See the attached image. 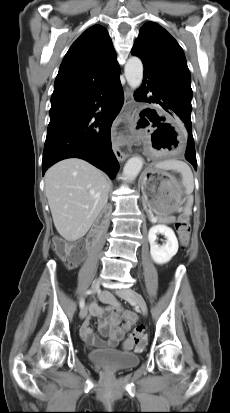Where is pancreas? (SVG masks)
Segmentation results:
<instances>
[{
	"label": "pancreas",
	"mask_w": 230,
	"mask_h": 413,
	"mask_svg": "<svg viewBox=\"0 0 230 413\" xmlns=\"http://www.w3.org/2000/svg\"><path fill=\"white\" fill-rule=\"evenodd\" d=\"M165 223H172L174 222V217H167L166 219L163 220Z\"/></svg>",
	"instance_id": "pancreas-1"
}]
</instances>
